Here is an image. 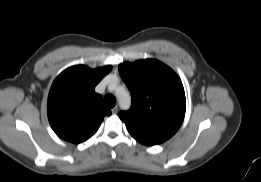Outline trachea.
Returning a JSON list of instances; mask_svg holds the SVG:
<instances>
[{"instance_id": "3493384b", "label": "trachea", "mask_w": 261, "mask_h": 182, "mask_svg": "<svg viewBox=\"0 0 261 182\" xmlns=\"http://www.w3.org/2000/svg\"><path fill=\"white\" fill-rule=\"evenodd\" d=\"M104 104L108 107V108H113L116 104V99L113 95L108 94L104 97Z\"/></svg>"}]
</instances>
